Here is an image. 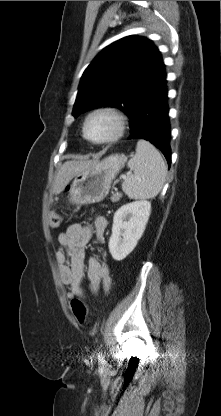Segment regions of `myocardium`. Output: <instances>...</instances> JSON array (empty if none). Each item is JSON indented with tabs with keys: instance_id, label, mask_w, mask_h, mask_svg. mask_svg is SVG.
<instances>
[{
	"instance_id": "myocardium-1",
	"label": "myocardium",
	"mask_w": 221,
	"mask_h": 416,
	"mask_svg": "<svg viewBox=\"0 0 221 416\" xmlns=\"http://www.w3.org/2000/svg\"><path fill=\"white\" fill-rule=\"evenodd\" d=\"M98 115H107L111 117L115 122L114 131L109 136L102 138V139L92 138L89 136L87 132L88 123L93 117L98 116ZM125 128H126V117L124 116V114L115 107L104 106V107L96 108L92 110L90 113H88V115L85 117L84 122H83L82 133H83V137L90 143L108 144V143L118 140L124 134Z\"/></svg>"
}]
</instances>
